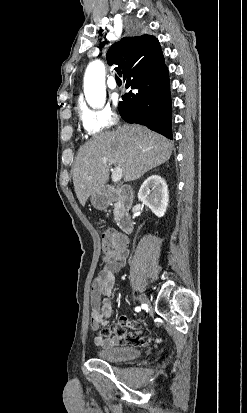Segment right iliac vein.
I'll list each match as a JSON object with an SVG mask.
<instances>
[{
  "instance_id": "63e3f726",
  "label": "right iliac vein",
  "mask_w": 247,
  "mask_h": 413,
  "mask_svg": "<svg viewBox=\"0 0 247 413\" xmlns=\"http://www.w3.org/2000/svg\"><path fill=\"white\" fill-rule=\"evenodd\" d=\"M138 300H139V302L142 303V304H149V300H148V298H147L144 294L140 295V296L138 297Z\"/></svg>"
}]
</instances>
